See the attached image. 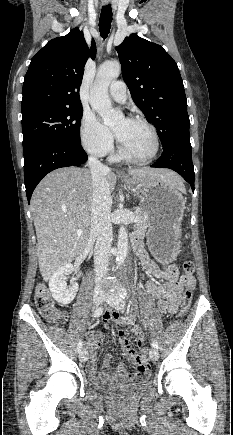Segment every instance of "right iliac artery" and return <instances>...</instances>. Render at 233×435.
<instances>
[{
    "mask_svg": "<svg viewBox=\"0 0 233 435\" xmlns=\"http://www.w3.org/2000/svg\"><path fill=\"white\" fill-rule=\"evenodd\" d=\"M103 313V308L101 306L97 307L93 313V317L97 318ZM82 349V341L80 340L77 344V351L80 352Z\"/></svg>",
    "mask_w": 233,
    "mask_h": 435,
    "instance_id": "right-iliac-artery-1",
    "label": "right iliac artery"
}]
</instances>
